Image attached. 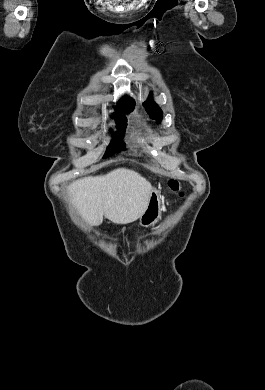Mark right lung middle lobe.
Returning a JSON list of instances; mask_svg holds the SVG:
<instances>
[{
  "label": "right lung middle lobe",
  "instance_id": "right-lung-middle-lobe-1",
  "mask_svg": "<svg viewBox=\"0 0 265 390\" xmlns=\"http://www.w3.org/2000/svg\"><path fill=\"white\" fill-rule=\"evenodd\" d=\"M130 111H132V110H130ZM130 111H127L126 113H129ZM124 121H125L124 115L122 118L116 119L118 131L114 134L113 139H112L110 145L107 147L106 153H105L103 158L110 157L114 153L119 152V151L124 149V146L121 142Z\"/></svg>",
  "mask_w": 265,
  "mask_h": 390
}]
</instances>
